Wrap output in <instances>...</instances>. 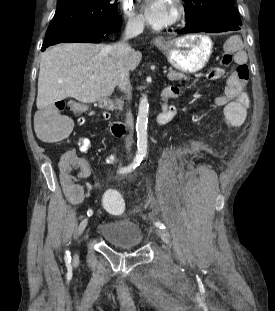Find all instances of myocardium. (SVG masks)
Returning a JSON list of instances; mask_svg holds the SVG:
<instances>
[{
    "instance_id": "myocardium-1",
    "label": "myocardium",
    "mask_w": 275,
    "mask_h": 311,
    "mask_svg": "<svg viewBox=\"0 0 275 311\" xmlns=\"http://www.w3.org/2000/svg\"><path fill=\"white\" fill-rule=\"evenodd\" d=\"M184 17V9L181 5L175 4L173 24L180 22Z\"/></svg>"
}]
</instances>
